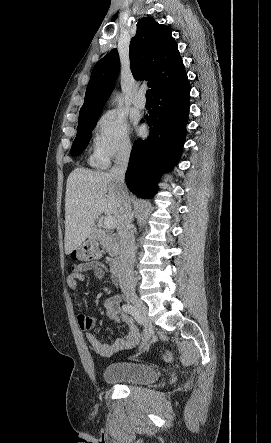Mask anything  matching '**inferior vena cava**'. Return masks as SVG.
<instances>
[{
	"label": "inferior vena cava",
	"instance_id": "1",
	"mask_svg": "<svg viewBox=\"0 0 271 443\" xmlns=\"http://www.w3.org/2000/svg\"><path fill=\"white\" fill-rule=\"evenodd\" d=\"M131 144H122L118 156L111 168L108 176L113 178L118 190H120V210L121 218L118 222L119 249L117 253V275L120 281V287L124 291L123 296H134L135 293V277H134V253L135 239L132 231V212L130 206V198L125 186V172L127 170Z\"/></svg>",
	"mask_w": 271,
	"mask_h": 443
}]
</instances>
